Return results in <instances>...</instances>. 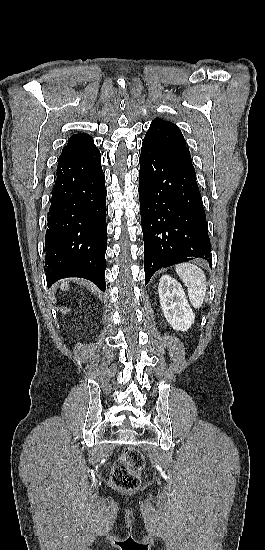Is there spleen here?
<instances>
[{"mask_svg":"<svg viewBox=\"0 0 265 550\" xmlns=\"http://www.w3.org/2000/svg\"><path fill=\"white\" fill-rule=\"evenodd\" d=\"M177 274L184 281L188 296L194 308H200L207 290L206 276L201 268L194 264L183 263L175 267Z\"/></svg>","mask_w":265,"mask_h":550,"instance_id":"1","label":"spleen"}]
</instances>
